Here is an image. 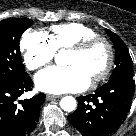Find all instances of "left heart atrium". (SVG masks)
I'll return each instance as SVG.
<instances>
[{
  "instance_id": "obj_1",
  "label": "left heart atrium",
  "mask_w": 136,
  "mask_h": 136,
  "mask_svg": "<svg viewBox=\"0 0 136 136\" xmlns=\"http://www.w3.org/2000/svg\"><path fill=\"white\" fill-rule=\"evenodd\" d=\"M35 84L43 92L61 94L82 91L89 86L90 80L75 65L52 66L42 70L35 76Z\"/></svg>"
}]
</instances>
